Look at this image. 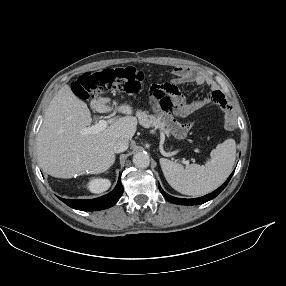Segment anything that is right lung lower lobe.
I'll return each instance as SVG.
<instances>
[{
    "instance_id": "98d812e1",
    "label": "right lung lower lobe",
    "mask_w": 286,
    "mask_h": 286,
    "mask_svg": "<svg viewBox=\"0 0 286 286\" xmlns=\"http://www.w3.org/2000/svg\"><path fill=\"white\" fill-rule=\"evenodd\" d=\"M123 193V186L120 178L115 189L107 195L92 200H66L59 198L66 205L82 211H97L112 207L120 198Z\"/></svg>"
}]
</instances>
